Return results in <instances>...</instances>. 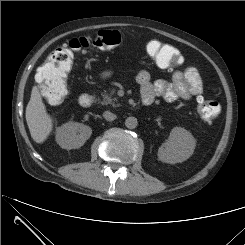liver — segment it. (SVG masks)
<instances>
[{"instance_id": "1", "label": "liver", "mask_w": 245, "mask_h": 245, "mask_svg": "<svg viewBox=\"0 0 245 245\" xmlns=\"http://www.w3.org/2000/svg\"><path fill=\"white\" fill-rule=\"evenodd\" d=\"M26 121L31 137L36 143H43L52 131V119L46 112L37 86H33L31 91L30 101L26 107Z\"/></svg>"}]
</instances>
